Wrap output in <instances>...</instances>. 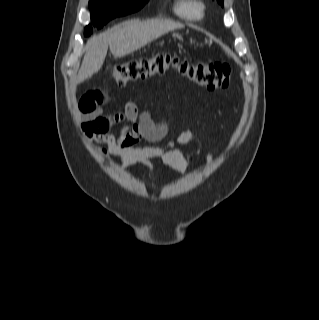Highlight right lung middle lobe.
<instances>
[{"mask_svg": "<svg viewBox=\"0 0 319 320\" xmlns=\"http://www.w3.org/2000/svg\"><path fill=\"white\" fill-rule=\"evenodd\" d=\"M148 0H89L91 21L94 26L101 28L112 18L127 15L140 10ZM92 33L91 26L85 28L84 35Z\"/></svg>", "mask_w": 319, "mask_h": 320, "instance_id": "dd1d6c3e", "label": "right lung middle lobe"}]
</instances>
